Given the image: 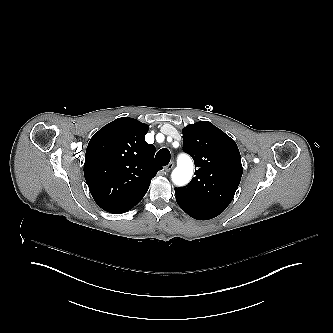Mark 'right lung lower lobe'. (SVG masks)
Returning a JSON list of instances; mask_svg holds the SVG:
<instances>
[{"label":"right lung lower lobe","instance_id":"1","mask_svg":"<svg viewBox=\"0 0 333 333\" xmlns=\"http://www.w3.org/2000/svg\"><path fill=\"white\" fill-rule=\"evenodd\" d=\"M148 188L149 186L141 189L128 186V188L124 192L117 195V197L112 203L106 204L104 206H99L110 213H125L141 201L143 196L146 194Z\"/></svg>","mask_w":333,"mask_h":333}]
</instances>
